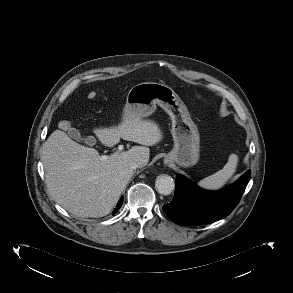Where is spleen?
<instances>
[{
  "instance_id": "obj_1",
  "label": "spleen",
  "mask_w": 293,
  "mask_h": 293,
  "mask_svg": "<svg viewBox=\"0 0 293 293\" xmlns=\"http://www.w3.org/2000/svg\"><path fill=\"white\" fill-rule=\"evenodd\" d=\"M238 161V156L231 154L223 169L202 179L198 182V185L207 190L221 189L236 172Z\"/></svg>"
}]
</instances>
